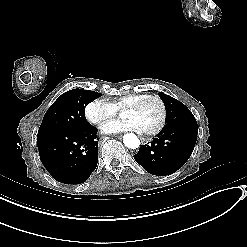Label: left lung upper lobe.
<instances>
[{
  "label": "left lung upper lobe",
  "mask_w": 247,
  "mask_h": 247,
  "mask_svg": "<svg viewBox=\"0 0 247 247\" xmlns=\"http://www.w3.org/2000/svg\"><path fill=\"white\" fill-rule=\"evenodd\" d=\"M159 96L164 100L167 110L165 128H175L179 126H195L197 122L190 110L180 101L162 92Z\"/></svg>",
  "instance_id": "5c2ea615"
}]
</instances>
